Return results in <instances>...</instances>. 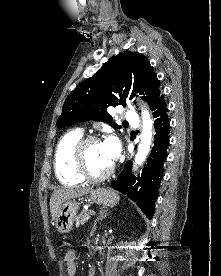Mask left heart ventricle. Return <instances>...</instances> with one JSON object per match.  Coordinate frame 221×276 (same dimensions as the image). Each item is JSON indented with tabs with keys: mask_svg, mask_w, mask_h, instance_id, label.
Returning <instances> with one entry per match:
<instances>
[{
	"mask_svg": "<svg viewBox=\"0 0 221 276\" xmlns=\"http://www.w3.org/2000/svg\"><path fill=\"white\" fill-rule=\"evenodd\" d=\"M86 160L88 168L93 174L105 172L112 164L101 142H95L88 145L86 149Z\"/></svg>",
	"mask_w": 221,
	"mask_h": 276,
	"instance_id": "b2bd125f",
	"label": "left heart ventricle"
}]
</instances>
